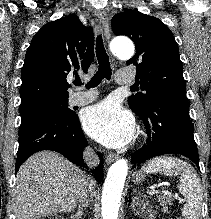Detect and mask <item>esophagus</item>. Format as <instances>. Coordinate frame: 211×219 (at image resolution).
I'll list each match as a JSON object with an SVG mask.
<instances>
[{
  "label": "esophagus",
  "instance_id": "1",
  "mask_svg": "<svg viewBox=\"0 0 211 219\" xmlns=\"http://www.w3.org/2000/svg\"><path fill=\"white\" fill-rule=\"evenodd\" d=\"M97 18L98 20L100 21V23L102 24L103 26V29H104V36H105V39L106 41L108 42L109 39H110V28H109V19H108V15L106 13L105 10L101 9V10H98L97 12ZM117 158V155L114 154V153H109L107 156H106V163L110 164L111 162H113L115 159Z\"/></svg>",
  "mask_w": 211,
  "mask_h": 219
}]
</instances>
